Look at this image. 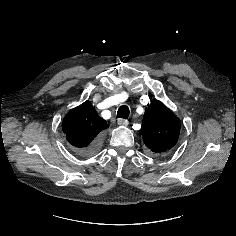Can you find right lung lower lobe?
<instances>
[{
  "instance_id": "1",
  "label": "right lung lower lobe",
  "mask_w": 236,
  "mask_h": 236,
  "mask_svg": "<svg viewBox=\"0 0 236 236\" xmlns=\"http://www.w3.org/2000/svg\"><path fill=\"white\" fill-rule=\"evenodd\" d=\"M99 148H100V140L97 139L89 147L84 149H79L78 151L83 156H89L98 151Z\"/></svg>"
}]
</instances>
